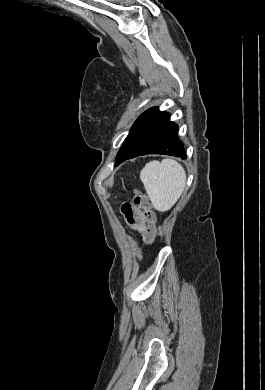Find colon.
<instances>
[{
    "label": "colon",
    "instance_id": "1",
    "mask_svg": "<svg viewBox=\"0 0 265 390\" xmlns=\"http://www.w3.org/2000/svg\"><path fill=\"white\" fill-rule=\"evenodd\" d=\"M133 204L136 208L143 211L144 218L146 223L154 227L156 222V216L154 211L151 209L150 202L148 200V197L140 190H135L134 196H133ZM155 239L154 236L150 238V242H153Z\"/></svg>",
    "mask_w": 265,
    "mask_h": 390
}]
</instances>
